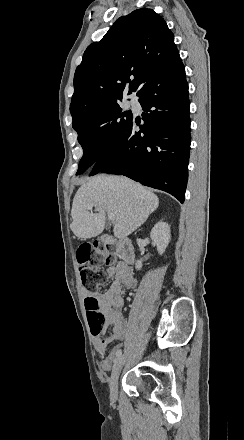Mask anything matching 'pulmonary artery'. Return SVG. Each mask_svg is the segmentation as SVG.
I'll list each match as a JSON object with an SVG mask.
<instances>
[{
    "mask_svg": "<svg viewBox=\"0 0 244 440\" xmlns=\"http://www.w3.org/2000/svg\"><path fill=\"white\" fill-rule=\"evenodd\" d=\"M131 104H132L134 107L137 106V105H138L137 100H136V99H133L132 102H131Z\"/></svg>",
    "mask_w": 244,
    "mask_h": 440,
    "instance_id": "obj_1",
    "label": "pulmonary artery"
}]
</instances>
